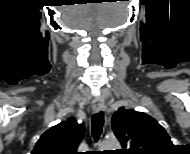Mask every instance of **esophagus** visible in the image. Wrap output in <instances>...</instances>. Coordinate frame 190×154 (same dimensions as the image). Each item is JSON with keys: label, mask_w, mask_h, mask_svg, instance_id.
Masks as SVG:
<instances>
[{"label": "esophagus", "mask_w": 190, "mask_h": 154, "mask_svg": "<svg viewBox=\"0 0 190 154\" xmlns=\"http://www.w3.org/2000/svg\"><path fill=\"white\" fill-rule=\"evenodd\" d=\"M105 108L104 98L102 96H98L93 103V111L99 112Z\"/></svg>", "instance_id": "1"}]
</instances>
